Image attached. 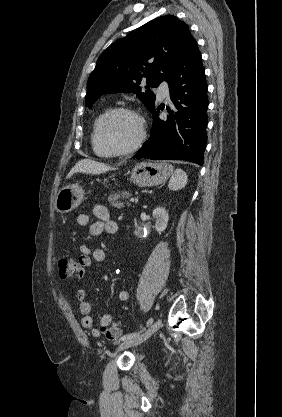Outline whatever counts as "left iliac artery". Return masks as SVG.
<instances>
[{
    "label": "left iliac artery",
    "instance_id": "left-iliac-artery-1",
    "mask_svg": "<svg viewBox=\"0 0 282 417\" xmlns=\"http://www.w3.org/2000/svg\"><path fill=\"white\" fill-rule=\"evenodd\" d=\"M152 323H153V318H150V319H148V321H147L146 325H147V326H150ZM139 334H140V332H134V333L126 334V335H123V336L120 338V340H121V341H125V340L131 339V338H133V337H135V336H137V335H139Z\"/></svg>",
    "mask_w": 282,
    "mask_h": 417
}]
</instances>
